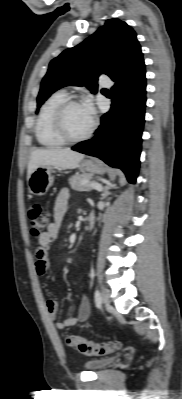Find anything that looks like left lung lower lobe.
Here are the masks:
<instances>
[{"instance_id":"1","label":"left lung lower lobe","mask_w":182,"mask_h":399,"mask_svg":"<svg viewBox=\"0 0 182 399\" xmlns=\"http://www.w3.org/2000/svg\"><path fill=\"white\" fill-rule=\"evenodd\" d=\"M111 109L101 117L95 137L78 143L73 150L98 157L120 168L130 183L136 182L140 164L146 107L144 62L111 88Z\"/></svg>"}]
</instances>
